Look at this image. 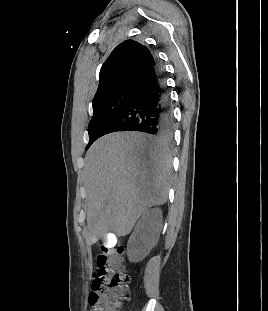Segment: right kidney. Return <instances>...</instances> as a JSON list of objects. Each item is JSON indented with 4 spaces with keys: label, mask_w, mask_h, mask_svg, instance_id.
I'll use <instances>...</instances> for the list:
<instances>
[{
    "label": "right kidney",
    "mask_w": 268,
    "mask_h": 311,
    "mask_svg": "<svg viewBox=\"0 0 268 311\" xmlns=\"http://www.w3.org/2000/svg\"><path fill=\"white\" fill-rule=\"evenodd\" d=\"M162 211L159 208L146 212L128 240L127 255L129 261L140 262L157 244L162 230Z\"/></svg>",
    "instance_id": "1"
}]
</instances>
